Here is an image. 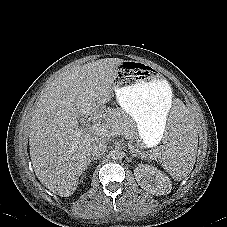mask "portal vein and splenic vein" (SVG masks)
<instances>
[{
    "instance_id": "18ae733b",
    "label": "portal vein and splenic vein",
    "mask_w": 227,
    "mask_h": 227,
    "mask_svg": "<svg viewBox=\"0 0 227 227\" xmlns=\"http://www.w3.org/2000/svg\"><path fill=\"white\" fill-rule=\"evenodd\" d=\"M85 129L92 132L95 135L102 136V137H111V136L119 135L118 132L109 130L103 124H98V123L89 125ZM75 134H76V136H79V134H80L79 130H76Z\"/></svg>"
}]
</instances>
